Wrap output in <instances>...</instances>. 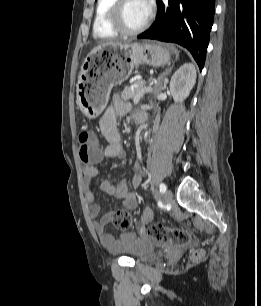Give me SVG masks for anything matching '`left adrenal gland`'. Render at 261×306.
Listing matches in <instances>:
<instances>
[{"instance_id": "a2214340", "label": "left adrenal gland", "mask_w": 261, "mask_h": 306, "mask_svg": "<svg viewBox=\"0 0 261 306\" xmlns=\"http://www.w3.org/2000/svg\"><path fill=\"white\" fill-rule=\"evenodd\" d=\"M172 67H170L169 69H166L158 78V84L160 89H164L166 87V84L168 82V79L166 78V76L170 73ZM159 91V89H158Z\"/></svg>"}]
</instances>
